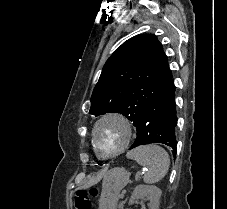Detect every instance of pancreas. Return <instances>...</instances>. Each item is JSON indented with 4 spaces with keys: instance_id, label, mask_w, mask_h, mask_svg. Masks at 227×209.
<instances>
[{
    "instance_id": "cf45deb5",
    "label": "pancreas",
    "mask_w": 227,
    "mask_h": 209,
    "mask_svg": "<svg viewBox=\"0 0 227 209\" xmlns=\"http://www.w3.org/2000/svg\"><path fill=\"white\" fill-rule=\"evenodd\" d=\"M120 203L117 205L118 208L117 209H124L123 207L125 206L124 204L127 202L125 199H121L119 201Z\"/></svg>"
}]
</instances>
